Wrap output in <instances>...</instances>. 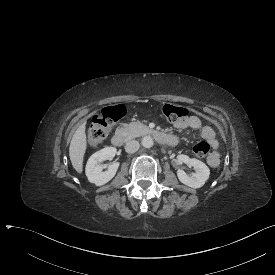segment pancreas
<instances>
[{"label": "pancreas", "mask_w": 275, "mask_h": 275, "mask_svg": "<svg viewBox=\"0 0 275 275\" xmlns=\"http://www.w3.org/2000/svg\"><path fill=\"white\" fill-rule=\"evenodd\" d=\"M151 130L143 125L140 122H132L129 124H126L123 127L118 128L115 131V134L123 136L125 138V141H129L131 139L144 136L148 133H150Z\"/></svg>", "instance_id": "pancreas-1"}]
</instances>
